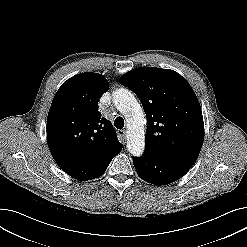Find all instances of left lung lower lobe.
Wrapping results in <instances>:
<instances>
[{
    "instance_id": "obj_1",
    "label": "left lung lower lobe",
    "mask_w": 247,
    "mask_h": 247,
    "mask_svg": "<svg viewBox=\"0 0 247 247\" xmlns=\"http://www.w3.org/2000/svg\"><path fill=\"white\" fill-rule=\"evenodd\" d=\"M138 175L154 185H165L184 176L194 162L164 158L145 151L139 158H133Z\"/></svg>"
}]
</instances>
